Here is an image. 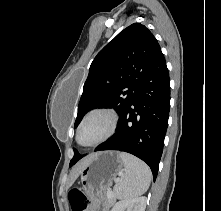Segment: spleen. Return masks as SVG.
I'll return each instance as SVG.
<instances>
[{"mask_svg": "<svg viewBox=\"0 0 221 211\" xmlns=\"http://www.w3.org/2000/svg\"><path fill=\"white\" fill-rule=\"evenodd\" d=\"M125 173L118 179L114 194L118 199H131L144 194L151 182L152 173L143 161L128 153L119 154Z\"/></svg>", "mask_w": 221, "mask_h": 211, "instance_id": "3e777b00", "label": "spleen"}]
</instances>
